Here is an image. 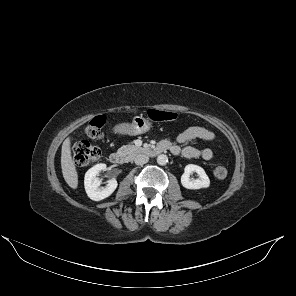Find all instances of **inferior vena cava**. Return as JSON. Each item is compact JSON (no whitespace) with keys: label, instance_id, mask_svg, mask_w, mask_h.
<instances>
[{"label":"inferior vena cava","instance_id":"obj_1","mask_svg":"<svg viewBox=\"0 0 296 296\" xmlns=\"http://www.w3.org/2000/svg\"><path fill=\"white\" fill-rule=\"evenodd\" d=\"M149 161V157L144 154H139L135 157V164L136 165H143Z\"/></svg>","mask_w":296,"mask_h":296}]
</instances>
